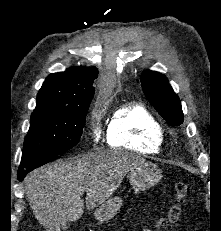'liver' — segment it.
Here are the masks:
<instances>
[{
	"mask_svg": "<svg viewBox=\"0 0 221 231\" xmlns=\"http://www.w3.org/2000/svg\"><path fill=\"white\" fill-rule=\"evenodd\" d=\"M144 162V158L118 151L58 160L26 176V196L40 224L47 231H60L83 215L84 191L86 207L93 210L115 192L127 172Z\"/></svg>",
	"mask_w": 221,
	"mask_h": 231,
	"instance_id": "obj_1",
	"label": "liver"
}]
</instances>
